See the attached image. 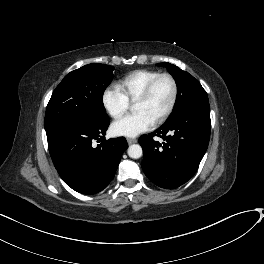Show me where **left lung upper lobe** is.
I'll list each match as a JSON object with an SVG mask.
<instances>
[{
  "mask_svg": "<svg viewBox=\"0 0 264 264\" xmlns=\"http://www.w3.org/2000/svg\"><path fill=\"white\" fill-rule=\"evenodd\" d=\"M158 65L168 68L169 72L175 79L178 88L174 110L168 120L173 119L188 107L196 104L209 103L206 91L188 72L183 71L168 62L160 63Z\"/></svg>",
  "mask_w": 264,
  "mask_h": 264,
  "instance_id": "1",
  "label": "left lung upper lobe"
}]
</instances>
